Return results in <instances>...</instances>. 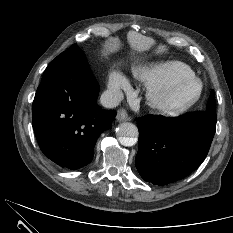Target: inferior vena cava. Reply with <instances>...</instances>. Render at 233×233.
Instances as JSON below:
<instances>
[{
    "label": "inferior vena cava",
    "instance_id": "1",
    "mask_svg": "<svg viewBox=\"0 0 233 233\" xmlns=\"http://www.w3.org/2000/svg\"><path fill=\"white\" fill-rule=\"evenodd\" d=\"M122 100L120 93L115 91L106 90L102 93L100 101L106 108H114L119 105Z\"/></svg>",
    "mask_w": 233,
    "mask_h": 233
}]
</instances>
